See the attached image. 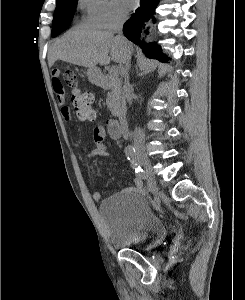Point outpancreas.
Returning <instances> with one entry per match:
<instances>
[{"instance_id":"pancreas-1","label":"pancreas","mask_w":245,"mask_h":300,"mask_svg":"<svg viewBox=\"0 0 245 300\" xmlns=\"http://www.w3.org/2000/svg\"><path fill=\"white\" fill-rule=\"evenodd\" d=\"M107 78L111 91L107 95V105L113 115H118L126 110L125 91L119 73H109Z\"/></svg>"}]
</instances>
